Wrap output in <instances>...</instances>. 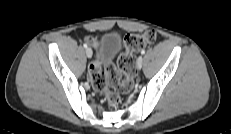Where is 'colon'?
Segmentation results:
<instances>
[{
    "instance_id": "colon-1",
    "label": "colon",
    "mask_w": 231,
    "mask_h": 134,
    "mask_svg": "<svg viewBox=\"0 0 231 134\" xmlns=\"http://www.w3.org/2000/svg\"><path fill=\"white\" fill-rule=\"evenodd\" d=\"M157 38L154 31H146L143 34H127L124 38L126 51L118 58L117 65L109 64L103 69L98 61L89 66V79L92 87L105 96L111 107H116L123 94L128 93L134 84L136 77V59L134 53L143 47L153 43ZM89 42L96 43V40L89 38ZM124 75V78H122Z\"/></svg>"
}]
</instances>
